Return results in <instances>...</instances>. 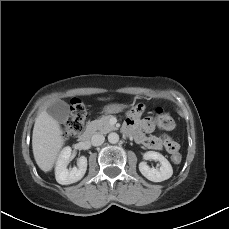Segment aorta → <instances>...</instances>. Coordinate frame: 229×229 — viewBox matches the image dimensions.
<instances>
[{
    "label": "aorta",
    "instance_id": "obj_1",
    "mask_svg": "<svg viewBox=\"0 0 229 229\" xmlns=\"http://www.w3.org/2000/svg\"><path fill=\"white\" fill-rule=\"evenodd\" d=\"M108 141L111 143V144H116L118 141H119V135L115 132L113 133H110L108 135Z\"/></svg>",
    "mask_w": 229,
    "mask_h": 229
}]
</instances>
